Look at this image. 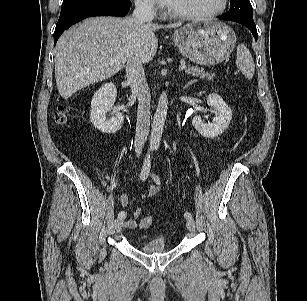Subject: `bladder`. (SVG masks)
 Listing matches in <instances>:
<instances>
[{
    "label": "bladder",
    "mask_w": 307,
    "mask_h": 301,
    "mask_svg": "<svg viewBox=\"0 0 307 301\" xmlns=\"http://www.w3.org/2000/svg\"><path fill=\"white\" fill-rule=\"evenodd\" d=\"M168 245L164 236H156L140 245V250L146 254H158L167 250Z\"/></svg>",
    "instance_id": "bladder-1"
}]
</instances>
